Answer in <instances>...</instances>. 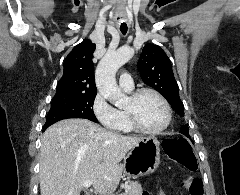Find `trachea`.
<instances>
[{
  "mask_svg": "<svg viewBox=\"0 0 240 195\" xmlns=\"http://www.w3.org/2000/svg\"><path fill=\"white\" fill-rule=\"evenodd\" d=\"M120 31L122 32L123 35H125L127 33V25H121Z\"/></svg>",
  "mask_w": 240,
  "mask_h": 195,
  "instance_id": "trachea-1",
  "label": "trachea"
}]
</instances>
